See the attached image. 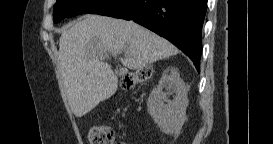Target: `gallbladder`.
<instances>
[{"label":"gallbladder","mask_w":273,"mask_h":144,"mask_svg":"<svg viewBox=\"0 0 273 144\" xmlns=\"http://www.w3.org/2000/svg\"><path fill=\"white\" fill-rule=\"evenodd\" d=\"M115 73H117L118 74V76H123V74H124V71L123 70H120V68H115Z\"/></svg>","instance_id":"bac80fb5"}]
</instances>
